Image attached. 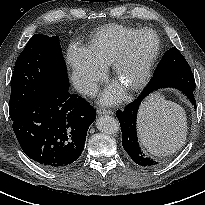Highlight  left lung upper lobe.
<instances>
[{
  "label": "left lung upper lobe",
  "mask_w": 205,
  "mask_h": 205,
  "mask_svg": "<svg viewBox=\"0 0 205 205\" xmlns=\"http://www.w3.org/2000/svg\"><path fill=\"white\" fill-rule=\"evenodd\" d=\"M182 71H191V68L178 49L173 47L165 53L153 77Z\"/></svg>",
  "instance_id": "obj_1"
}]
</instances>
